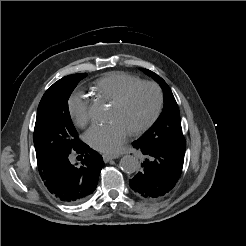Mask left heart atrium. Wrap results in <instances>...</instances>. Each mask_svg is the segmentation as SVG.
<instances>
[{"label":"left heart atrium","instance_id":"39dd6f15","mask_svg":"<svg viewBox=\"0 0 246 246\" xmlns=\"http://www.w3.org/2000/svg\"><path fill=\"white\" fill-rule=\"evenodd\" d=\"M128 128L118 119L105 124H94L86 132V141L94 149L113 154L119 151L129 134Z\"/></svg>","mask_w":246,"mask_h":246}]
</instances>
